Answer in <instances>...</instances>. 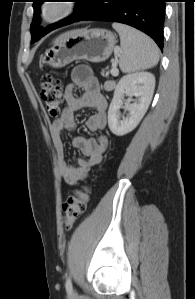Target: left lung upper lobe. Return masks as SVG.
<instances>
[{
  "label": "left lung upper lobe",
  "instance_id": "left-lung-upper-lobe-1",
  "mask_svg": "<svg viewBox=\"0 0 195 299\" xmlns=\"http://www.w3.org/2000/svg\"><path fill=\"white\" fill-rule=\"evenodd\" d=\"M44 0H33V8H34V18L30 27L32 42L39 40L44 35L48 34L50 31L59 28L61 26H65L76 22L78 18L82 16V14L89 9L92 0H77V5L75 8V13L69 16L68 18L49 26L46 29L39 28L38 25V15L40 13L39 7L40 4L43 3Z\"/></svg>",
  "mask_w": 195,
  "mask_h": 299
}]
</instances>
